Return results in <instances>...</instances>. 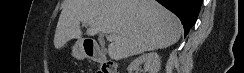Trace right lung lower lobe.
I'll return each mask as SVG.
<instances>
[{"instance_id":"right-lung-lower-lobe-1","label":"right lung lower lobe","mask_w":244,"mask_h":73,"mask_svg":"<svg viewBox=\"0 0 244 73\" xmlns=\"http://www.w3.org/2000/svg\"><path fill=\"white\" fill-rule=\"evenodd\" d=\"M171 12H173L182 22L185 35L195 24L203 0H156Z\"/></svg>"}]
</instances>
